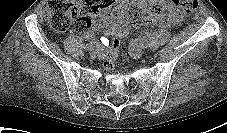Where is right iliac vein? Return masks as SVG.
I'll list each match as a JSON object with an SVG mask.
<instances>
[{
    "label": "right iliac vein",
    "instance_id": "obj_1",
    "mask_svg": "<svg viewBox=\"0 0 227 133\" xmlns=\"http://www.w3.org/2000/svg\"><path fill=\"white\" fill-rule=\"evenodd\" d=\"M100 50H99V48L97 49V48H92L91 50H90V55H91V57H97V56H99L100 55Z\"/></svg>",
    "mask_w": 227,
    "mask_h": 133
}]
</instances>
